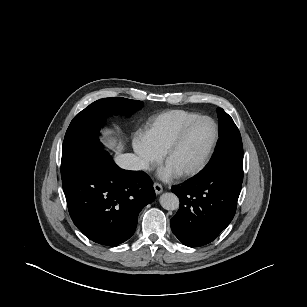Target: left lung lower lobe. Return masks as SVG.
I'll return each mask as SVG.
<instances>
[{
	"label": "left lung lower lobe",
	"mask_w": 307,
	"mask_h": 307,
	"mask_svg": "<svg viewBox=\"0 0 307 307\" xmlns=\"http://www.w3.org/2000/svg\"><path fill=\"white\" fill-rule=\"evenodd\" d=\"M241 185L242 181L229 174L210 172L173 186L180 200L170 221L174 235L189 247L213 241L233 219Z\"/></svg>",
	"instance_id": "left-lung-lower-lobe-1"
}]
</instances>
